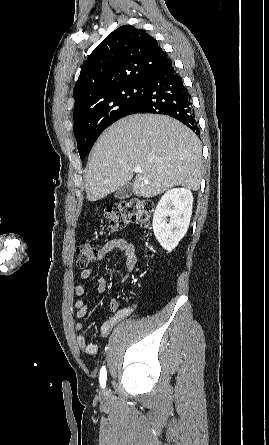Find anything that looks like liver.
<instances>
[{
  "mask_svg": "<svg viewBox=\"0 0 269 445\" xmlns=\"http://www.w3.org/2000/svg\"><path fill=\"white\" fill-rule=\"evenodd\" d=\"M138 197L151 198L171 187L196 191L201 181V143L179 121L164 115L135 114L108 127L87 164L86 194L100 200L128 184Z\"/></svg>",
  "mask_w": 269,
  "mask_h": 445,
  "instance_id": "1",
  "label": "liver"
}]
</instances>
